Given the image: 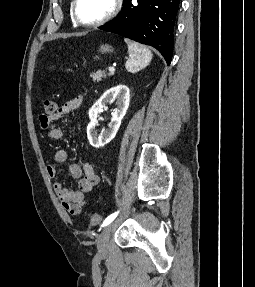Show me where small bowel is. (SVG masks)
<instances>
[{
    "mask_svg": "<svg viewBox=\"0 0 255 287\" xmlns=\"http://www.w3.org/2000/svg\"><path fill=\"white\" fill-rule=\"evenodd\" d=\"M82 100V96H77L66 101L55 113L40 116L41 127L47 131L52 140H61L64 137V132L56 125V121L77 110L81 106ZM68 157V152L64 149L57 150L54 154V160L57 164L66 162ZM46 171L51 178L58 175V169L55 165H48ZM69 172L78 181L77 189H67L61 181L54 182L53 189L64 212L69 215H79L87 203L86 194L93 191L100 179L94 167L88 162L71 164Z\"/></svg>",
    "mask_w": 255,
    "mask_h": 287,
    "instance_id": "1",
    "label": "small bowel"
}]
</instances>
